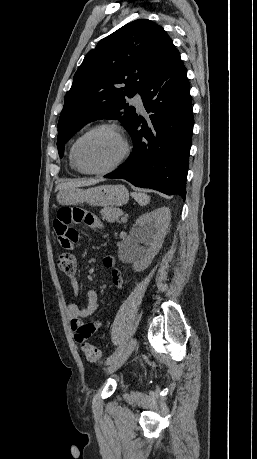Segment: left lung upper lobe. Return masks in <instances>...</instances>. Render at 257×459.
I'll use <instances>...</instances> for the list:
<instances>
[{
	"label": "left lung upper lobe",
	"mask_w": 257,
	"mask_h": 459,
	"mask_svg": "<svg viewBox=\"0 0 257 459\" xmlns=\"http://www.w3.org/2000/svg\"><path fill=\"white\" fill-rule=\"evenodd\" d=\"M174 48L161 26L138 19L89 51L65 96L58 122L59 156H63L64 144L91 121L117 119L128 129L136 110L128 106L126 97L141 94Z\"/></svg>",
	"instance_id": "left-lung-upper-lobe-1"
}]
</instances>
